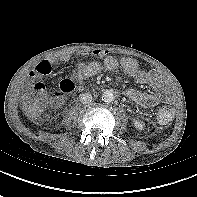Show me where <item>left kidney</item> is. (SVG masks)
<instances>
[{
    "instance_id": "5707ae66",
    "label": "left kidney",
    "mask_w": 197,
    "mask_h": 197,
    "mask_svg": "<svg viewBox=\"0 0 197 197\" xmlns=\"http://www.w3.org/2000/svg\"><path fill=\"white\" fill-rule=\"evenodd\" d=\"M134 126L138 129V130H142L144 128V124L142 121L140 120H134Z\"/></svg>"
}]
</instances>
